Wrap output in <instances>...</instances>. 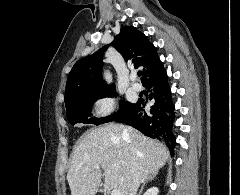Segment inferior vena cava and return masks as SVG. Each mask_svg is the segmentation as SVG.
<instances>
[{
  "label": "inferior vena cava",
  "instance_id": "602c4592",
  "mask_svg": "<svg viewBox=\"0 0 240 195\" xmlns=\"http://www.w3.org/2000/svg\"><path fill=\"white\" fill-rule=\"evenodd\" d=\"M123 133H127V131H123ZM134 153V151H133ZM137 167H139L138 163H136ZM143 179L140 175V173H138V171H135V173H133L132 175V181L130 183V189H129V195H136L137 193V189L140 185V183H142Z\"/></svg>",
  "mask_w": 240,
  "mask_h": 195
}]
</instances>
